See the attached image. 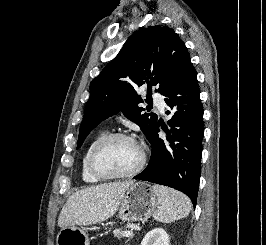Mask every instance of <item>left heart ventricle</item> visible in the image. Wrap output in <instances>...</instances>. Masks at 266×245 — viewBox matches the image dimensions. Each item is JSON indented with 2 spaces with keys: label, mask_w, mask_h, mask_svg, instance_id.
Listing matches in <instances>:
<instances>
[{
  "label": "left heart ventricle",
  "mask_w": 266,
  "mask_h": 245,
  "mask_svg": "<svg viewBox=\"0 0 266 245\" xmlns=\"http://www.w3.org/2000/svg\"><path fill=\"white\" fill-rule=\"evenodd\" d=\"M140 157L136 143L115 139L109 142L98 156L99 167L110 174H125L133 170Z\"/></svg>",
  "instance_id": "obj_1"
}]
</instances>
